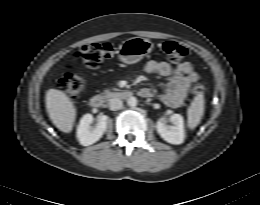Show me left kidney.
<instances>
[{
    "instance_id": "obj_1",
    "label": "left kidney",
    "mask_w": 260,
    "mask_h": 205,
    "mask_svg": "<svg viewBox=\"0 0 260 205\" xmlns=\"http://www.w3.org/2000/svg\"><path fill=\"white\" fill-rule=\"evenodd\" d=\"M172 126L165 125L161 120L157 122L156 129L159 135L168 143L179 145L184 142V119L180 114H173L170 117Z\"/></svg>"
}]
</instances>
